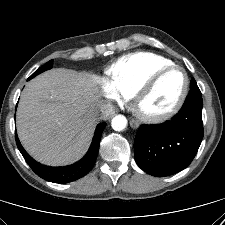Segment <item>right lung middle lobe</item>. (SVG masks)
I'll use <instances>...</instances> for the list:
<instances>
[{
	"label": "right lung middle lobe",
	"instance_id": "1",
	"mask_svg": "<svg viewBox=\"0 0 225 225\" xmlns=\"http://www.w3.org/2000/svg\"><path fill=\"white\" fill-rule=\"evenodd\" d=\"M52 67V60H50L49 62H47L45 65H43L42 67H40L39 69H37L30 77L29 79L35 77L36 75L50 69Z\"/></svg>",
	"mask_w": 225,
	"mask_h": 225
}]
</instances>
